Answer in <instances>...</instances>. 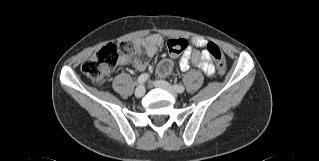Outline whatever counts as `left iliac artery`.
I'll use <instances>...</instances> for the list:
<instances>
[{
	"label": "left iliac artery",
	"instance_id": "left-iliac-artery-1",
	"mask_svg": "<svg viewBox=\"0 0 319 161\" xmlns=\"http://www.w3.org/2000/svg\"><path fill=\"white\" fill-rule=\"evenodd\" d=\"M173 88L179 93H182L184 91V87L182 85L176 84L173 86Z\"/></svg>",
	"mask_w": 319,
	"mask_h": 161
}]
</instances>
